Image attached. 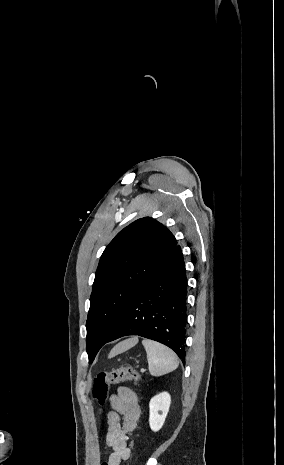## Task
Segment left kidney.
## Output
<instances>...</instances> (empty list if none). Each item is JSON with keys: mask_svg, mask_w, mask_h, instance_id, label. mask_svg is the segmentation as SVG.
<instances>
[{"mask_svg": "<svg viewBox=\"0 0 284 465\" xmlns=\"http://www.w3.org/2000/svg\"><path fill=\"white\" fill-rule=\"evenodd\" d=\"M171 397L169 393H159L151 399L149 403L150 415L149 425L152 431H160L162 429L165 419L168 415Z\"/></svg>", "mask_w": 284, "mask_h": 465, "instance_id": "1", "label": "left kidney"}]
</instances>
